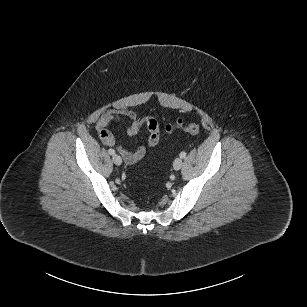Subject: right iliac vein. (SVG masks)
<instances>
[{"label":"right iliac vein","instance_id":"63e3f726","mask_svg":"<svg viewBox=\"0 0 307 307\" xmlns=\"http://www.w3.org/2000/svg\"><path fill=\"white\" fill-rule=\"evenodd\" d=\"M112 159H113V162H114L116 165L119 166V165L122 164V158H121L119 155L114 154L113 157H112Z\"/></svg>","mask_w":307,"mask_h":307}]
</instances>
